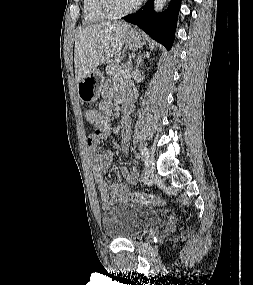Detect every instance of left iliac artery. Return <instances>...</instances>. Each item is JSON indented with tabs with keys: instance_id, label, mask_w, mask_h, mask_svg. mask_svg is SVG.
Returning <instances> with one entry per match:
<instances>
[{
	"instance_id": "left-iliac-artery-1",
	"label": "left iliac artery",
	"mask_w": 253,
	"mask_h": 285,
	"mask_svg": "<svg viewBox=\"0 0 253 285\" xmlns=\"http://www.w3.org/2000/svg\"><path fill=\"white\" fill-rule=\"evenodd\" d=\"M139 149H140V153L142 155L143 158H146L148 155V149L146 148V146L143 143H139Z\"/></svg>"
}]
</instances>
